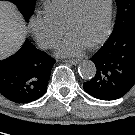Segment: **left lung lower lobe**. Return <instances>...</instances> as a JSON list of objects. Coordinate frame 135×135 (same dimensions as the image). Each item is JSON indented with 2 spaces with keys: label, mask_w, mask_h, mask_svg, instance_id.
<instances>
[{
  "label": "left lung lower lobe",
  "mask_w": 135,
  "mask_h": 135,
  "mask_svg": "<svg viewBox=\"0 0 135 135\" xmlns=\"http://www.w3.org/2000/svg\"><path fill=\"white\" fill-rule=\"evenodd\" d=\"M91 60L96 75L83 84L84 90L101 100L124 96L135 84V24L128 32L109 38Z\"/></svg>",
  "instance_id": "left-lung-lower-lobe-1"
}]
</instances>
